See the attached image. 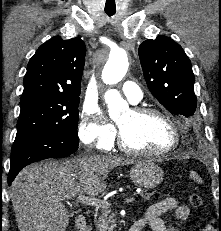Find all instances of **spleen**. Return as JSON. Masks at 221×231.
I'll list each match as a JSON object with an SVG mask.
<instances>
[{"label":"spleen","mask_w":221,"mask_h":231,"mask_svg":"<svg viewBox=\"0 0 221 231\" xmlns=\"http://www.w3.org/2000/svg\"><path fill=\"white\" fill-rule=\"evenodd\" d=\"M191 177H193V178H196V179H198V176L196 175V173L195 172H191Z\"/></svg>","instance_id":"obj_1"}]
</instances>
